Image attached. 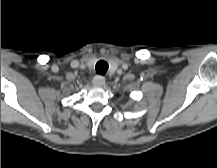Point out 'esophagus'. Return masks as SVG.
Segmentation results:
<instances>
[{"label": "esophagus", "instance_id": "obj_1", "mask_svg": "<svg viewBox=\"0 0 217 168\" xmlns=\"http://www.w3.org/2000/svg\"><path fill=\"white\" fill-rule=\"evenodd\" d=\"M92 84L94 86L102 87L105 85V78L103 76L97 75L93 78Z\"/></svg>", "mask_w": 217, "mask_h": 168}]
</instances>
